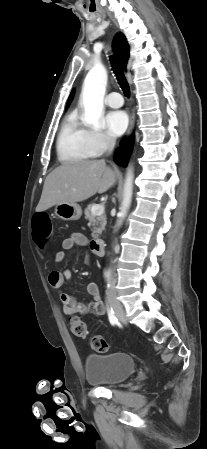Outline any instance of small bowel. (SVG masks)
I'll list each match as a JSON object with an SVG mask.
<instances>
[{
	"mask_svg": "<svg viewBox=\"0 0 207 449\" xmlns=\"http://www.w3.org/2000/svg\"><path fill=\"white\" fill-rule=\"evenodd\" d=\"M87 238L78 232L72 233L68 238L62 242L63 250H72L76 246L87 245ZM65 259V252L58 251L54 255L55 263H62ZM72 272L69 269L53 270L49 273L48 281L50 286L59 291V299L63 303V311L66 315L73 314H90L96 317L103 316L105 314V306L100 298L99 288L95 282H89L87 284V293L91 297L89 303L80 302L74 296L63 291L65 282H71Z\"/></svg>",
	"mask_w": 207,
	"mask_h": 449,
	"instance_id": "obj_1",
	"label": "small bowel"
}]
</instances>
